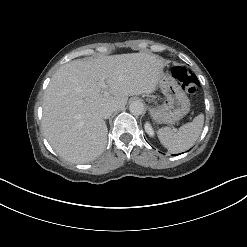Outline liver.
I'll return each mask as SVG.
<instances>
[{
	"instance_id": "6515ba94",
	"label": "liver",
	"mask_w": 247,
	"mask_h": 247,
	"mask_svg": "<svg viewBox=\"0 0 247 247\" xmlns=\"http://www.w3.org/2000/svg\"><path fill=\"white\" fill-rule=\"evenodd\" d=\"M163 63L154 55L130 53L73 60L51 78L43 97L46 139L62 158L86 163L107 145L105 106L125 107L128 97L155 91ZM104 80L113 96H104Z\"/></svg>"
}]
</instances>
